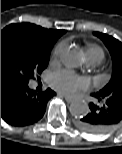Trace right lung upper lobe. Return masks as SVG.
Wrapping results in <instances>:
<instances>
[{"label":"right lung upper lobe","mask_w":122,"mask_h":154,"mask_svg":"<svg viewBox=\"0 0 122 154\" xmlns=\"http://www.w3.org/2000/svg\"><path fill=\"white\" fill-rule=\"evenodd\" d=\"M21 25L33 38L45 45L53 46L56 39L65 33V30L44 29L30 23H21Z\"/></svg>","instance_id":"right-lung-upper-lobe-1"}]
</instances>
